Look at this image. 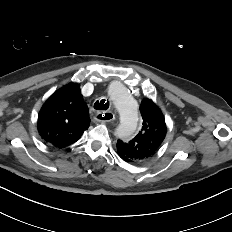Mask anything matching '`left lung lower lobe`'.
Listing matches in <instances>:
<instances>
[{"instance_id": "0a47b994", "label": "left lung lower lobe", "mask_w": 232, "mask_h": 232, "mask_svg": "<svg viewBox=\"0 0 232 232\" xmlns=\"http://www.w3.org/2000/svg\"><path fill=\"white\" fill-rule=\"evenodd\" d=\"M121 157V156H120ZM124 161L128 162L126 159H124L123 157H121Z\"/></svg>"}]
</instances>
